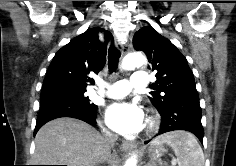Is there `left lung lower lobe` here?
<instances>
[{
  "label": "left lung lower lobe",
  "mask_w": 236,
  "mask_h": 166,
  "mask_svg": "<svg viewBox=\"0 0 236 166\" xmlns=\"http://www.w3.org/2000/svg\"><path fill=\"white\" fill-rule=\"evenodd\" d=\"M159 113L162 120L158 135L173 130H186L196 135L203 144L204 130L201 124L199 97H190L184 104L167 108Z\"/></svg>",
  "instance_id": "obj_1"
}]
</instances>
